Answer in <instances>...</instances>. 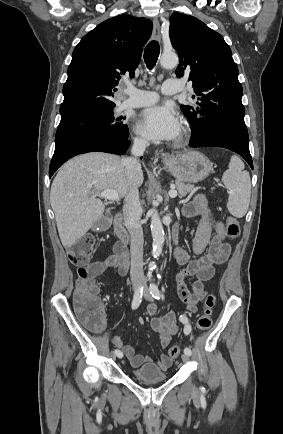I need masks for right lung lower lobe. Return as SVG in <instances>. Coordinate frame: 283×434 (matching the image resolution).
Wrapping results in <instances>:
<instances>
[{
	"instance_id": "1",
	"label": "right lung lower lobe",
	"mask_w": 283,
	"mask_h": 434,
	"mask_svg": "<svg viewBox=\"0 0 283 434\" xmlns=\"http://www.w3.org/2000/svg\"><path fill=\"white\" fill-rule=\"evenodd\" d=\"M130 141L128 136L112 132H90L72 137L55 147L49 167V176L68 159L87 152H107L117 155L126 153Z\"/></svg>"
}]
</instances>
